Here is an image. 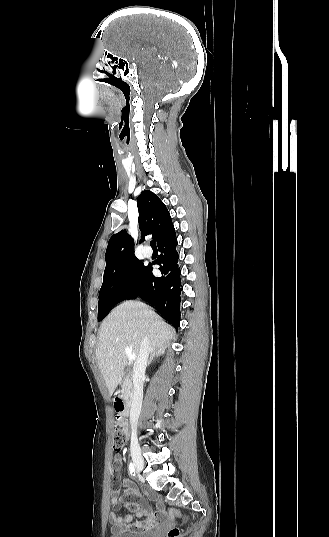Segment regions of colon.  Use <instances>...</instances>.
Segmentation results:
<instances>
[{
    "mask_svg": "<svg viewBox=\"0 0 329 537\" xmlns=\"http://www.w3.org/2000/svg\"><path fill=\"white\" fill-rule=\"evenodd\" d=\"M117 417L120 416L116 410V418ZM120 420H122L121 417ZM126 440L127 433L124 431V429L115 428L113 432V449L116 452L122 450V448L125 446ZM168 516L172 520L179 519L181 517V512L179 510L172 509L169 511ZM167 537H179V530L177 528H171L167 533Z\"/></svg>",
    "mask_w": 329,
    "mask_h": 537,
    "instance_id": "1",
    "label": "colon"
}]
</instances>
